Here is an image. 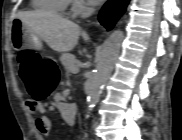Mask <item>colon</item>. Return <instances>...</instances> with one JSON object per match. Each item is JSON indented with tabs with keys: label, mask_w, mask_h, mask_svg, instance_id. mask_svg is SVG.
Wrapping results in <instances>:
<instances>
[{
	"label": "colon",
	"mask_w": 182,
	"mask_h": 140,
	"mask_svg": "<svg viewBox=\"0 0 182 140\" xmlns=\"http://www.w3.org/2000/svg\"><path fill=\"white\" fill-rule=\"evenodd\" d=\"M18 59L20 75L31 99L40 102L47 98L59 79V70L55 62L31 50L21 52Z\"/></svg>",
	"instance_id": "obj_1"
}]
</instances>
